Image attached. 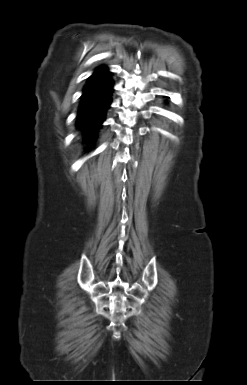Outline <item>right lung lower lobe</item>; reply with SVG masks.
Here are the masks:
<instances>
[{"mask_svg": "<svg viewBox=\"0 0 247 385\" xmlns=\"http://www.w3.org/2000/svg\"><path fill=\"white\" fill-rule=\"evenodd\" d=\"M112 86L110 72L105 67H99L83 90L76 125L87 145L95 141L104 121L105 111L111 103Z\"/></svg>", "mask_w": 247, "mask_h": 385, "instance_id": "obj_1", "label": "right lung lower lobe"}]
</instances>
